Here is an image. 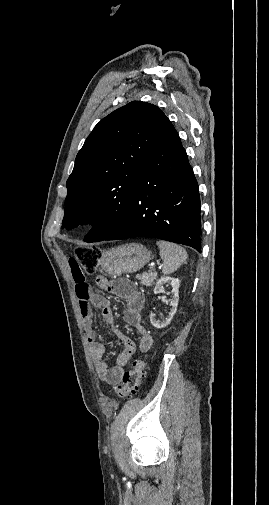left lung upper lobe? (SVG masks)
Returning a JSON list of instances; mask_svg holds the SVG:
<instances>
[{
	"label": "left lung upper lobe",
	"instance_id": "left-lung-upper-lobe-1",
	"mask_svg": "<svg viewBox=\"0 0 269 505\" xmlns=\"http://www.w3.org/2000/svg\"><path fill=\"white\" fill-rule=\"evenodd\" d=\"M165 114L133 101L103 118L77 154L66 186L62 227L91 223L85 239L99 241L126 218L132 192Z\"/></svg>",
	"mask_w": 269,
	"mask_h": 505
}]
</instances>
